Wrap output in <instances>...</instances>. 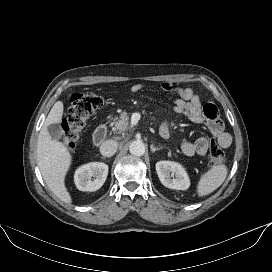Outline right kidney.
<instances>
[{
  "label": "right kidney",
  "mask_w": 272,
  "mask_h": 272,
  "mask_svg": "<svg viewBox=\"0 0 272 272\" xmlns=\"http://www.w3.org/2000/svg\"><path fill=\"white\" fill-rule=\"evenodd\" d=\"M108 175V165L92 162L79 167L74 175L76 187L80 191L93 192L102 187Z\"/></svg>",
  "instance_id": "1"
}]
</instances>
